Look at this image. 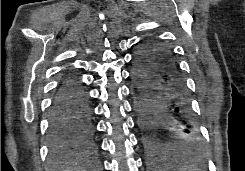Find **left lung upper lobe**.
Instances as JSON below:
<instances>
[{
    "label": "left lung upper lobe",
    "mask_w": 245,
    "mask_h": 171,
    "mask_svg": "<svg viewBox=\"0 0 245 171\" xmlns=\"http://www.w3.org/2000/svg\"><path fill=\"white\" fill-rule=\"evenodd\" d=\"M160 43L162 42L156 39L145 40L137 49L134 61H152V52Z\"/></svg>",
    "instance_id": "left-lung-upper-lobe-1"
}]
</instances>
